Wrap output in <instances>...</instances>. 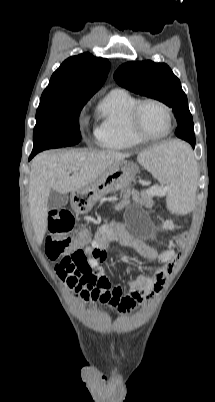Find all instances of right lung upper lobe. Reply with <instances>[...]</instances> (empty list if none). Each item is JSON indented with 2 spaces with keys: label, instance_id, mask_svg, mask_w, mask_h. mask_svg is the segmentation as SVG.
Segmentation results:
<instances>
[{
  "label": "right lung upper lobe",
  "instance_id": "right-lung-upper-lobe-1",
  "mask_svg": "<svg viewBox=\"0 0 215 402\" xmlns=\"http://www.w3.org/2000/svg\"><path fill=\"white\" fill-rule=\"evenodd\" d=\"M110 63L83 53L66 59L51 76L42 97L91 98L105 82Z\"/></svg>",
  "mask_w": 215,
  "mask_h": 402
}]
</instances>
